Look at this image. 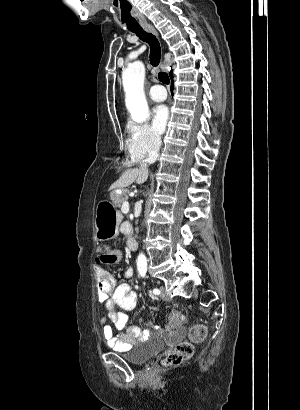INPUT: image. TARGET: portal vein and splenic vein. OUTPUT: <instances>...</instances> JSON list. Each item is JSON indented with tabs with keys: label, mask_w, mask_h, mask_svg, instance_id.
<instances>
[{
	"label": "portal vein and splenic vein",
	"mask_w": 300,
	"mask_h": 410,
	"mask_svg": "<svg viewBox=\"0 0 300 410\" xmlns=\"http://www.w3.org/2000/svg\"><path fill=\"white\" fill-rule=\"evenodd\" d=\"M121 210L123 211V212H129V203H128V201H124L123 202V204H122V207H121Z\"/></svg>",
	"instance_id": "18ae733b"
}]
</instances>
